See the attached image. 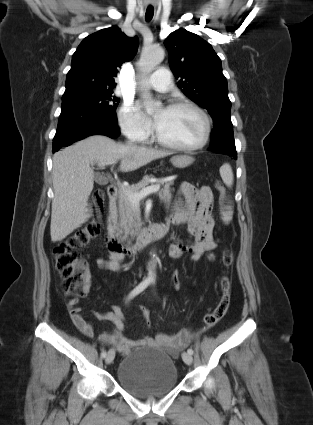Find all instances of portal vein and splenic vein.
Returning a JSON list of instances; mask_svg holds the SVG:
<instances>
[{
  "label": "portal vein and splenic vein",
  "instance_id": "1",
  "mask_svg": "<svg viewBox=\"0 0 313 425\" xmlns=\"http://www.w3.org/2000/svg\"><path fill=\"white\" fill-rule=\"evenodd\" d=\"M115 161H110V162H102V163H98L97 166L99 167H105L107 165H113L115 164ZM93 164V163H92ZM160 186L159 185H153V186H149L143 190H141L138 193H130L126 191V194L129 198V200L133 203V205L135 207H138L139 202L142 198H145L146 196H148L151 193L157 192L159 191Z\"/></svg>",
  "mask_w": 313,
  "mask_h": 425
}]
</instances>
